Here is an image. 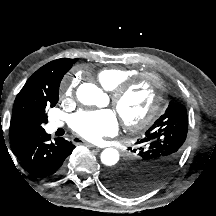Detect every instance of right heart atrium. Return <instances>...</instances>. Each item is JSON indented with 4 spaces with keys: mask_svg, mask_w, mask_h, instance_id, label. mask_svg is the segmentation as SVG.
<instances>
[{
    "mask_svg": "<svg viewBox=\"0 0 216 216\" xmlns=\"http://www.w3.org/2000/svg\"><path fill=\"white\" fill-rule=\"evenodd\" d=\"M76 82L72 77H67L64 79L61 85V95L72 96L74 93Z\"/></svg>",
    "mask_w": 216,
    "mask_h": 216,
    "instance_id": "d8ad5b80",
    "label": "right heart atrium"
}]
</instances>
